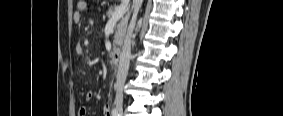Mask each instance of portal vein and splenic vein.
<instances>
[{
  "label": "portal vein and splenic vein",
  "mask_w": 283,
  "mask_h": 116,
  "mask_svg": "<svg viewBox=\"0 0 283 116\" xmlns=\"http://www.w3.org/2000/svg\"><path fill=\"white\" fill-rule=\"evenodd\" d=\"M128 9V1L125 0L123 3L114 11L112 14L111 20H119L121 17L124 16Z\"/></svg>",
  "instance_id": "portal-vein-and-splenic-vein-1"
}]
</instances>
